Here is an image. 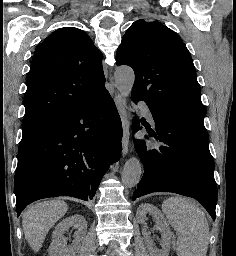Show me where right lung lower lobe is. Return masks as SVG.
<instances>
[{
  "label": "right lung lower lobe",
  "mask_w": 236,
  "mask_h": 256,
  "mask_svg": "<svg viewBox=\"0 0 236 256\" xmlns=\"http://www.w3.org/2000/svg\"><path fill=\"white\" fill-rule=\"evenodd\" d=\"M121 139L120 116L108 91L22 137L14 180L17 216L43 198L92 199L109 164L120 157Z\"/></svg>",
  "instance_id": "98d812e1"
}]
</instances>
